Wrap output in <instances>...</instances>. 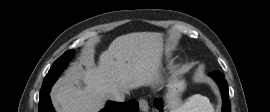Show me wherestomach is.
Masks as SVG:
<instances>
[{"label":"stomach","instance_id":"obj_1","mask_svg":"<svg viewBox=\"0 0 270 112\" xmlns=\"http://www.w3.org/2000/svg\"><path fill=\"white\" fill-rule=\"evenodd\" d=\"M164 41V37L162 36V44ZM186 89V82L185 80L173 74L169 77L167 84H166V93H165V101L168 108H175L180 104L181 95Z\"/></svg>","mask_w":270,"mask_h":112}]
</instances>
